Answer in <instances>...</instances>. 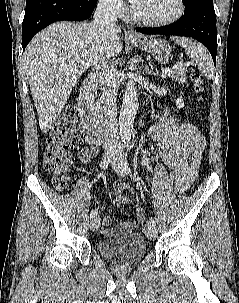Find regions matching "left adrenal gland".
Returning a JSON list of instances; mask_svg holds the SVG:
<instances>
[{"label": "left adrenal gland", "mask_w": 239, "mask_h": 303, "mask_svg": "<svg viewBox=\"0 0 239 303\" xmlns=\"http://www.w3.org/2000/svg\"><path fill=\"white\" fill-rule=\"evenodd\" d=\"M145 70L147 75H153V76L158 75V73L153 72V69H149L148 65L146 66Z\"/></svg>", "instance_id": "obj_1"}]
</instances>
